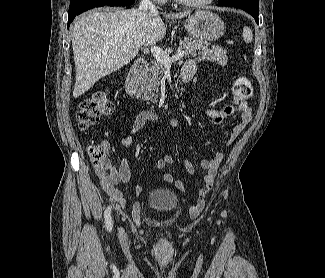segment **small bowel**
I'll return each instance as SVG.
<instances>
[{
    "label": "small bowel",
    "mask_w": 325,
    "mask_h": 278,
    "mask_svg": "<svg viewBox=\"0 0 325 278\" xmlns=\"http://www.w3.org/2000/svg\"><path fill=\"white\" fill-rule=\"evenodd\" d=\"M184 67H190L193 70V77L196 72V63L193 60H188L186 61ZM238 112L240 114V121L233 127L227 137L224 138L220 144L226 146L230 145L250 122L252 118V112L246 100L239 104ZM218 113L219 111L214 108L207 110V115L211 119H213L214 116H216ZM157 119L158 115L151 110L141 111L136 114L132 120V127L130 132L128 134H122L120 137L121 145L124 147L131 146L136 133L139 132L146 123ZM169 125L171 128H177L180 126V123L178 119L171 117L169 119ZM223 159L224 153L221 149H218L211 159H203L201 161V167L206 172L204 176V187L201 190L202 195H205L211 189L213 181ZM173 161L174 158L172 155H164L157 161L156 168L158 170H163L170 166ZM184 165L189 173L195 172V168L191 162L185 161ZM95 173L98 176L101 187L107 194L108 198L114 201L116 205L124 208L126 206V201L121 190L118 188V184L128 183L131 178V170L128 160L126 158H122L119 166L115 167L112 164L110 158L105 157L102 163L95 167ZM161 180L165 183H174L176 187L182 192L186 190L185 185L180 180L175 179L171 174H163L161 176ZM143 189L144 186L142 184H139L135 187V192L137 194H140L142 193ZM200 204H202V201H200Z\"/></svg>",
    "instance_id": "obj_1"
}]
</instances>
